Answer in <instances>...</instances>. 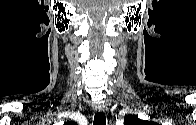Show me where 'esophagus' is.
I'll return each mask as SVG.
<instances>
[{
  "label": "esophagus",
  "instance_id": "1",
  "mask_svg": "<svg viewBox=\"0 0 196 125\" xmlns=\"http://www.w3.org/2000/svg\"><path fill=\"white\" fill-rule=\"evenodd\" d=\"M95 109L96 111H98L99 113H103L104 112V106L102 104H96L95 105Z\"/></svg>",
  "mask_w": 196,
  "mask_h": 125
}]
</instances>
